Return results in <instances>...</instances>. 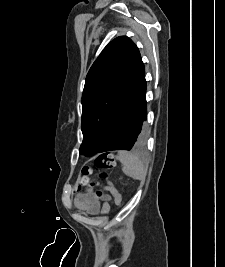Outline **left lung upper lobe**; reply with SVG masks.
<instances>
[{
    "mask_svg": "<svg viewBox=\"0 0 225 267\" xmlns=\"http://www.w3.org/2000/svg\"><path fill=\"white\" fill-rule=\"evenodd\" d=\"M140 61L137 46L130 38L120 36L103 49L91 66L82 94L80 154L95 155L110 138L123 96ZM145 138L146 124L134 148L140 147Z\"/></svg>",
    "mask_w": 225,
    "mask_h": 267,
    "instance_id": "obj_1",
    "label": "left lung upper lobe"
}]
</instances>
